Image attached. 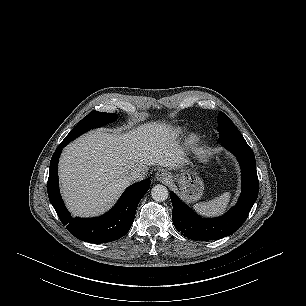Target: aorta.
<instances>
[{"label": "aorta", "mask_w": 306, "mask_h": 306, "mask_svg": "<svg viewBox=\"0 0 306 306\" xmlns=\"http://www.w3.org/2000/svg\"><path fill=\"white\" fill-rule=\"evenodd\" d=\"M168 195V189L160 184L155 185L151 190V196L157 202L165 201Z\"/></svg>", "instance_id": "aorta-1"}]
</instances>
